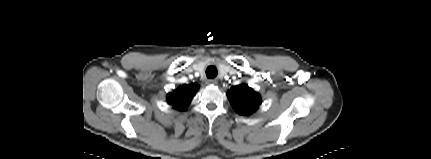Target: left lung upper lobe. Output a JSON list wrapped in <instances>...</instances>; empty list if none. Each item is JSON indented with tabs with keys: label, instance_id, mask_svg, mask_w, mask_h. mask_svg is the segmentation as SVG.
Returning a JSON list of instances; mask_svg holds the SVG:
<instances>
[{
	"label": "left lung upper lobe",
	"instance_id": "left-lung-upper-lobe-1",
	"mask_svg": "<svg viewBox=\"0 0 431 159\" xmlns=\"http://www.w3.org/2000/svg\"><path fill=\"white\" fill-rule=\"evenodd\" d=\"M228 98L234 110L241 115L251 114L260 104L259 95L244 84L233 87Z\"/></svg>",
	"mask_w": 431,
	"mask_h": 159
}]
</instances>
